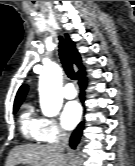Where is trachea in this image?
Returning a JSON list of instances; mask_svg holds the SVG:
<instances>
[{
	"label": "trachea",
	"instance_id": "3493384b",
	"mask_svg": "<svg viewBox=\"0 0 135 166\" xmlns=\"http://www.w3.org/2000/svg\"><path fill=\"white\" fill-rule=\"evenodd\" d=\"M59 56H60L61 63L63 65V68H64L67 76L70 79L75 80L76 74H75L74 69H73V64H72L71 58H70L68 51L65 47L63 39L60 36H59Z\"/></svg>",
	"mask_w": 135,
	"mask_h": 166
}]
</instances>
